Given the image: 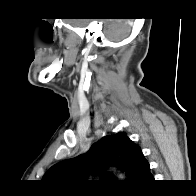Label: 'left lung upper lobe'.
I'll return each instance as SVG.
<instances>
[{"label": "left lung upper lobe", "mask_w": 196, "mask_h": 196, "mask_svg": "<svg viewBox=\"0 0 196 196\" xmlns=\"http://www.w3.org/2000/svg\"><path fill=\"white\" fill-rule=\"evenodd\" d=\"M146 159L138 145L125 132L107 136L93 144L86 155L64 160L52 166L42 180L49 184H68L84 180L90 169L102 170L115 165L126 172L128 181H134L136 173ZM102 178L113 177L101 172Z\"/></svg>", "instance_id": "left-lung-upper-lobe-1"}]
</instances>
